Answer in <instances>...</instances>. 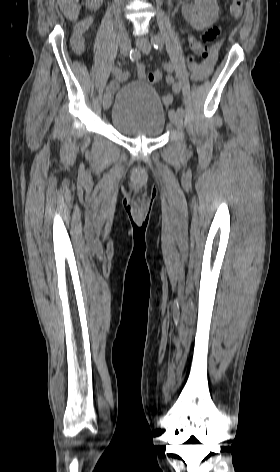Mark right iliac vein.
<instances>
[{"instance_id":"obj_1","label":"right iliac vein","mask_w":280,"mask_h":472,"mask_svg":"<svg viewBox=\"0 0 280 472\" xmlns=\"http://www.w3.org/2000/svg\"><path fill=\"white\" fill-rule=\"evenodd\" d=\"M120 53L127 55L131 49V43L128 37H122L119 40ZM111 105V87H107L103 96V108L104 110L109 109Z\"/></svg>"}]
</instances>
